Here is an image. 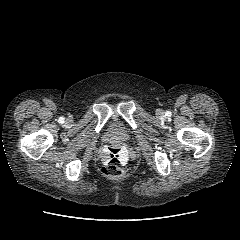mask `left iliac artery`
Here are the masks:
<instances>
[{"label": "left iliac artery", "mask_w": 240, "mask_h": 240, "mask_svg": "<svg viewBox=\"0 0 240 240\" xmlns=\"http://www.w3.org/2000/svg\"><path fill=\"white\" fill-rule=\"evenodd\" d=\"M171 115V113L170 112H167V116H170Z\"/></svg>", "instance_id": "1"}]
</instances>
